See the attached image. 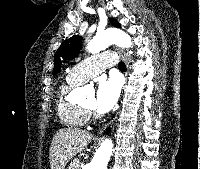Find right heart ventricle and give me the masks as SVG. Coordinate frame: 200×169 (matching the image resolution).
<instances>
[{
	"label": "right heart ventricle",
	"instance_id": "right-heart-ventricle-1",
	"mask_svg": "<svg viewBox=\"0 0 200 169\" xmlns=\"http://www.w3.org/2000/svg\"><path fill=\"white\" fill-rule=\"evenodd\" d=\"M79 84L66 78L59 87L57 113L60 120L71 128L84 127L90 119L89 113L84 107L69 100L70 90Z\"/></svg>",
	"mask_w": 200,
	"mask_h": 169
}]
</instances>
